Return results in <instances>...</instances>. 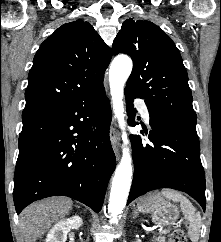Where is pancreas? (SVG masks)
I'll return each instance as SVG.
<instances>
[{
	"label": "pancreas",
	"mask_w": 221,
	"mask_h": 242,
	"mask_svg": "<svg viewBox=\"0 0 221 242\" xmlns=\"http://www.w3.org/2000/svg\"><path fill=\"white\" fill-rule=\"evenodd\" d=\"M163 240H164L163 237H158V238L156 239L157 242H163Z\"/></svg>",
	"instance_id": "cf45deb5"
}]
</instances>
